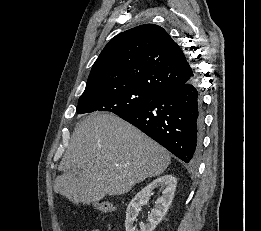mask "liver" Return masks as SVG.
I'll use <instances>...</instances> for the list:
<instances>
[{
  "mask_svg": "<svg viewBox=\"0 0 261 231\" xmlns=\"http://www.w3.org/2000/svg\"><path fill=\"white\" fill-rule=\"evenodd\" d=\"M170 160L165 148L136 127L112 113L95 112L74 129L54 191L74 204L89 205L161 175Z\"/></svg>",
  "mask_w": 261,
  "mask_h": 231,
  "instance_id": "obj_1",
  "label": "liver"
}]
</instances>
